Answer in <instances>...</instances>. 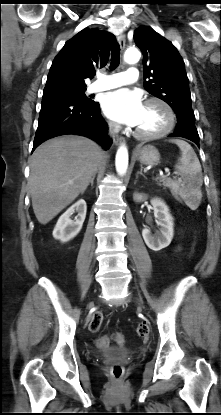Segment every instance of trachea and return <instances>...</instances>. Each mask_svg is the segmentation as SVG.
<instances>
[{"instance_id": "3493384b", "label": "trachea", "mask_w": 221, "mask_h": 415, "mask_svg": "<svg viewBox=\"0 0 221 415\" xmlns=\"http://www.w3.org/2000/svg\"><path fill=\"white\" fill-rule=\"evenodd\" d=\"M120 63V47L114 45L111 51V69H115Z\"/></svg>"}]
</instances>
